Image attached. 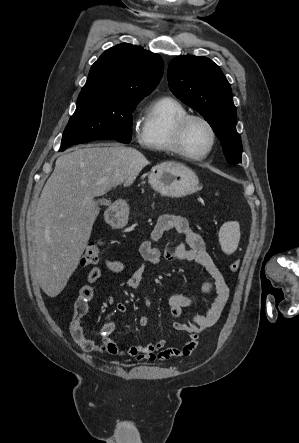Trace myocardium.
I'll return each instance as SVG.
<instances>
[{
    "mask_svg": "<svg viewBox=\"0 0 299 443\" xmlns=\"http://www.w3.org/2000/svg\"><path fill=\"white\" fill-rule=\"evenodd\" d=\"M192 120H199V121L203 122L207 126V128L210 132V135H211V142H210L208 149L201 154H191L184 147V143H183L184 133H185L188 123ZM216 141H217V135H216V131H215L212 123L202 115L187 113V114L183 115L182 117H180L177 120V122L175 123L174 130H173V146H174L175 152L184 158H187L190 160H202V159L206 158L213 151V149L216 145Z\"/></svg>",
    "mask_w": 299,
    "mask_h": 443,
    "instance_id": "1",
    "label": "myocardium"
}]
</instances>
